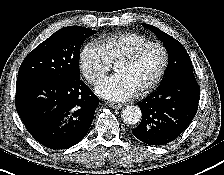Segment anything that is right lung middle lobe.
Instances as JSON below:
<instances>
[{"instance_id": "dd1d6c3e", "label": "right lung middle lobe", "mask_w": 224, "mask_h": 175, "mask_svg": "<svg viewBox=\"0 0 224 175\" xmlns=\"http://www.w3.org/2000/svg\"><path fill=\"white\" fill-rule=\"evenodd\" d=\"M95 33L81 26L58 30L26 56L18 77L36 75L58 80L80 79V48L86 38Z\"/></svg>"}]
</instances>
